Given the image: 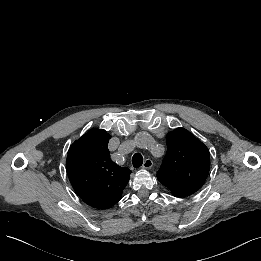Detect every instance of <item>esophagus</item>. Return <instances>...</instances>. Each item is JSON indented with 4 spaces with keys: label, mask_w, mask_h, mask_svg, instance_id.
<instances>
[{
    "label": "esophagus",
    "mask_w": 261,
    "mask_h": 261,
    "mask_svg": "<svg viewBox=\"0 0 261 261\" xmlns=\"http://www.w3.org/2000/svg\"><path fill=\"white\" fill-rule=\"evenodd\" d=\"M153 166V161L151 159H146L143 163V168L148 169Z\"/></svg>",
    "instance_id": "obj_1"
}]
</instances>
